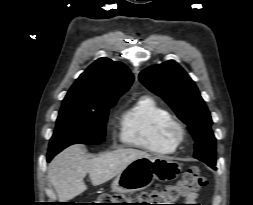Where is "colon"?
<instances>
[{
    "label": "colon",
    "mask_w": 253,
    "mask_h": 205,
    "mask_svg": "<svg viewBox=\"0 0 253 205\" xmlns=\"http://www.w3.org/2000/svg\"><path fill=\"white\" fill-rule=\"evenodd\" d=\"M206 181L198 167L190 168L174 184L140 194H104L99 197V205H178L179 200L197 193Z\"/></svg>",
    "instance_id": "colon-1"
}]
</instances>
